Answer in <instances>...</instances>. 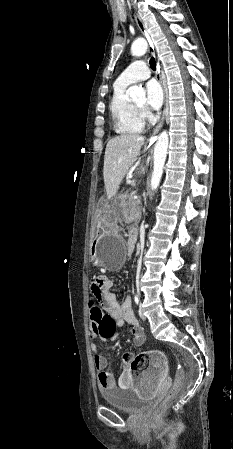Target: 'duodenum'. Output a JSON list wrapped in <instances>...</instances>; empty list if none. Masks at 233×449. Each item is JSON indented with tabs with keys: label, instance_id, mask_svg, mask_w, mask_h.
<instances>
[{
	"label": "duodenum",
	"instance_id": "1",
	"mask_svg": "<svg viewBox=\"0 0 233 449\" xmlns=\"http://www.w3.org/2000/svg\"><path fill=\"white\" fill-rule=\"evenodd\" d=\"M136 237H137V231L133 230L131 232V235H130V238H129V241H128V251L129 252H132L134 250Z\"/></svg>",
	"mask_w": 233,
	"mask_h": 449
}]
</instances>
